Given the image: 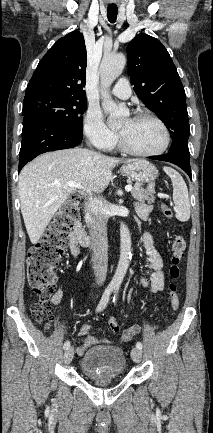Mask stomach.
<instances>
[{
    "label": "stomach",
    "mask_w": 213,
    "mask_h": 433,
    "mask_svg": "<svg viewBox=\"0 0 213 433\" xmlns=\"http://www.w3.org/2000/svg\"><path fill=\"white\" fill-rule=\"evenodd\" d=\"M121 171L139 183H151L157 176L156 167L146 160H134L121 167Z\"/></svg>",
    "instance_id": "0dacf381"
}]
</instances>
